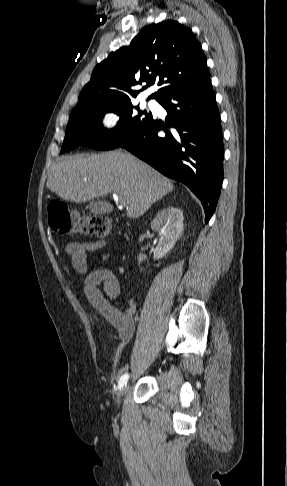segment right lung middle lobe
Here are the masks:
<instances>
[{"label": "right lung middle lobe", "instance_id": "obj_1", "mask_svg": "<svg viewBox=\"0 0 287 486\" xmlns=\"http://www.w3.org/2000/svg\"><path fill=\"white\" fill-rule=\"evenodd\" d=\"M135 108L139 110L138 106ZM133 109L132 101L128 99L99 103L71 112L61 153L72 150L78 145L99 150L117 148L152 117V114L147 111H139L136 115ZM107 112H114L120 117L117 126L111 130L101 124V119Z\"/></svg>", "mask_w": 287, "mask_h": 486}]
</instances>
